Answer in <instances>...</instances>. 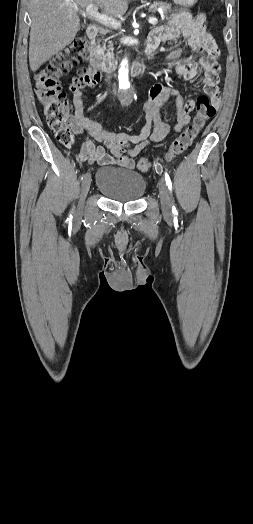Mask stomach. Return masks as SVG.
<instances>
[{"mask_svg": "<svg viewBox=\"0 0 253 524\" xmlns=\"http://www.w3.org/2000/svg\"><path fill=\"white\" fill-rule=\"evenodd\" d=\"M173 2L180 6L191 7L197 2V0H173Z\"/></svg>", "mask_w": 253, "mask_h": 524, "instance_id": "0dacf381", "label": "stomach"}]
</instances>
